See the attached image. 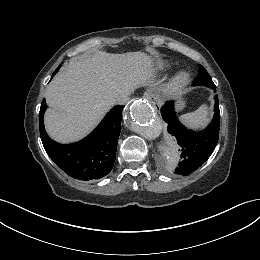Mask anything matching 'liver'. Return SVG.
Listing matches in <instances>:
<instances>
[{"label": "liver", "mask_w": 260, "mask_h": 260, "mask_svg": "<svg viewBox=\"0 0 260 260\" xmlns=\"http://www.w3.org/2000/svg\"><path fill=\"white\" fill-rule=\"evenodd\" d=\"M153 76V60L144 52L97 51L71 59L46 91L47 133L60 143L80 140L101 121L115 96L154 85Z\"/></svg>", "instance_id": "1"}]
</instances>
